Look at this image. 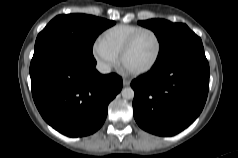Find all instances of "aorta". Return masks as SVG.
<instances>
[{
	"label": "aorta",
	"mask_w": 238,
	"mask_h": 158,
	"mask_svg": "<svg viewBox=\"0 0 238 158\" xmlns=\"http://www.w3.org/2000/svg\"><path fill=\"white\" fill-rule=\"evenodd\" d=\"M121 94H122V97L127 100L134 98V90L131 87H126L122 89Z\"/></svg>",
	"instance_id": "aorta-1"
}]
</instances>
